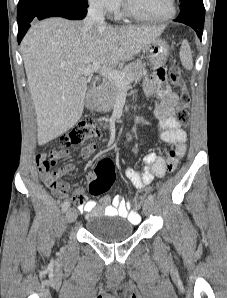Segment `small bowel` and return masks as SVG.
<instances>
[{
    "mask_svg": "<svg viewBox=\"0 0 227 298\" xmlns=\"http://www.w3.org/2000/svg\"><path fill=\"white\" fill-rule=\"evenodd\" d=\"M164 77H169L168 69H156L155 75H149L144 81V92L148 98L155 95L154 116L158 119L157 131L159 140L173 146L167 158L150 152L143 157L144 166L141 172L133 168L125 170L126 178L137 189H145L155 177L161 178L166 172L174 170L178 162L184 157L187 151V134L175 119V112L178 108V95L170 91L169 82ZM96 150L94 143L82 147L81 158L89 159ZM70 154L68 149L52 151L50 153H39L35 161L43 181L48 184L54 193L60 197L66 196L71 190L68 183L57 180L58 177L69 174L75 170V164L69 163L62 168L52 171L53 158H63ZM94 178L93 172L87 173V179ZM72 199L78 203L80 211L85 212L87 217H94L101 214L107 216H119L127 218L132 222H138L140 215L137 209H132L131 203L117 195L112 199L103 195L99 203L87 200L83 189L78 188L72 194Z\"/></svg>",
    "mask_w": 227,
    "mask_h": 298,
    "instance_id": "small-bowel-1",
    "label": "small bowel"
}]
</instances>
